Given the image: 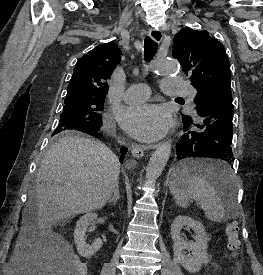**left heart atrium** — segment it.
Instances as JSON below:
<instances>
[{
  "label": "left heart atrium",
  "instance_id": "obj_1",
  "mask_svg": "<svg viewBox=\"0 0 263 275\" xmlns=\"http://www.w3.org/2000/svg\"><path fill=\"white\" fill-rule=\"evenodd\" d=\"M121 124L135 138L152 141L167 132L169 120L162 107L146 103L127 108L121 115Z\"/></svg>",
  "mask_w": 263,
  "mask_h": 275
}]
</instances>
